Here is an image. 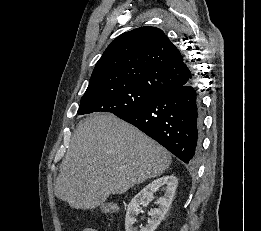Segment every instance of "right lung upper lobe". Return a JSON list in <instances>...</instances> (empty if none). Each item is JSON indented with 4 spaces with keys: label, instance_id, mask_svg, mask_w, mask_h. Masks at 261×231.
I'll return each mask as SVG.
<instances>
[{
    "label": "right lung upper lobe",
    "instance_id": "cb5924a9",
    "mask_svg": "<svg viewBox=\"0 0 261 231\" xmlns=\"http://www.w3.org/2000/svg\"><path fill=\"white\" fill-rule=\"evenodd\" d=\"M193 76L161 29L140 27L123 33L108 46L85 93L135 86L159 96Z\"/></svg>",
    "mask_w": 261,
    "mask_h": 231
}]
</instances>
